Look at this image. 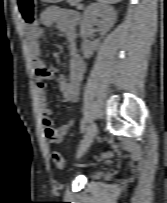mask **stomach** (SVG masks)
<instances>
[{
    "label": "stomach",
    "mask_w": 167,
    "mask_h": 203,
    "mask_svg": "<svg viewBox=\"0 0 167 203\" xmlns=\"http://www.w3.org/2000/svg\"><path fill=\"white\" fill-rule=\"evenodd\" d=\"M42 2H47V3H59L62 2L63 0H41Z\"/></svg>",
    "instance_id": "stomach-1"
}]
</instances>
